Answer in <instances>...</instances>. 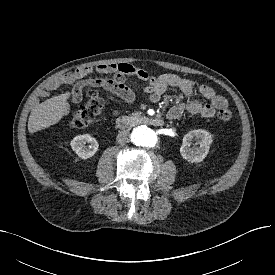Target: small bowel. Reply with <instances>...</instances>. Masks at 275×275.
I'll return each instance as SVG.
<instances>
[{"label":"small bowel","instance_id":"1","mask_svg":"<svg viewBox=\"0 0 275 275\" xmlns=\"http://www.w3.org/2000/svg\"><path fill=\"white\" fill-rule=\"evenodd\" d=\"M92 74H114V77L111 79H95L87 82L80 81ZM127 75H135L148 83L145 92L152 102L159 101L170 87L178 88L188 98H192L198 92L205 100V102H201L197 99H190L185 103H178L172 106L167 113V117L171 120L180 118L184 111H187L191 115L209 119L215 115L217 110L228 106L226 98L217 94L210 86L196 85L189 79L170 73L153 76L144 69L125 63L77 68L55 79L51 88L56 89L63 84H74L69 101L78 103L82 99L85 86L91 83L116 94L127 104H130L133 102V94L126 85L125 79Z\"/></svg>","mask_w":275,"mask_h":275}]
</instances>
